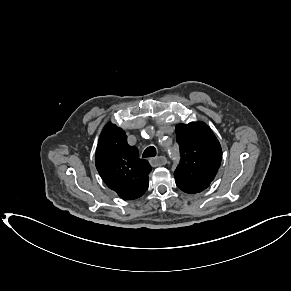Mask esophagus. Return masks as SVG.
I'll list each match as a JSON object with an SVG mask.
<instances>
[{
    "label": "esophagus",
    "instance_id": "1",
    "mask_svg": "<svg viewBox=\"0 0 291 291\" xmlns=\"http://www.w3.org/2000/svg\"><path fill=\"white\" fill-rule=\"evenodd\" d=\"M149 162L151 166L153 167L162 166L167 163V158L164 156H158V157L151 158Z\"/></svg>",
    "mask_w": 291,
    "mask_h": 291
}]
</instances>
